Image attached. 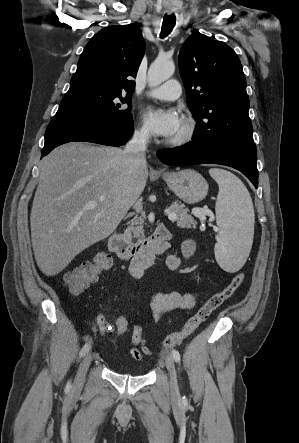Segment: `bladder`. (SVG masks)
Segmentation results:
<instances>
[{"label":"bladder","mask_w":299,"mask_h":443,"mask_svg":"<svg viewBox=\"0 0 299 443\" xmlns=\"http://www.w3.org/2000/svg\"><path fill=\"white\" fill-rule=\"evenodd\" d=\"M114 371L117 373H127L135 376H139L143 374V369L140 367H134V368H128L127 366L123 365H115Z\"/></svg>","instance_id":"obj_1"}]
</instances>
